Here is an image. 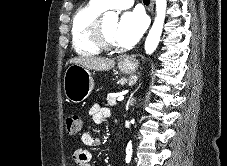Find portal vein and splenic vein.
Instances as JSON below:
<instances>
[{
  "label": "portal vein and splenic vein",
  "instance_id": "obj_1",
  "mask_svg": "<svg viewBox=\"0 0 227 166\" xmlns=\"http://www.w3.org/2000/svg\"><path fill=\"white\" fill-rule=\"evenodd\" d=\"M124 99V97L123 96H120L119 98H118V101H122Z\"/></svg>",
  "mask_w": 227,
  "mask_h": 166
}]
</instances>
